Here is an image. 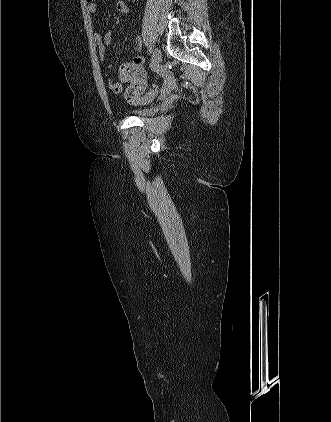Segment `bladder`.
<instances>
[{"mask_svg":"<svg viewBox=\"0 0 331 422\" xmlns=\"http://www.w3.org/2000/svg\"><path fill=\"white\" fill-rule=\"evenodd\" d=\"M128 113L137 117H147L155 113V108H152V107L134 108V109L128 110Z\"/></svg>","mask_w":331,"mask_h":422,"instance_id":"bladder-1","label":"bladder"}]
</instances>
